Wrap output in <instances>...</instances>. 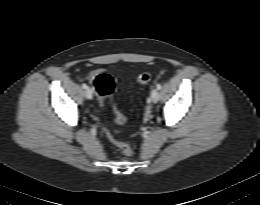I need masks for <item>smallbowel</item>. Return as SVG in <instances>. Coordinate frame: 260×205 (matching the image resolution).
<instances>
[{"label": "small bowel", "mask_w": 260, "mask_h": 205, "mask_svg": "<svg viewBox=\"0 0 260 205\" xmlns=\"http://www.w3.org/2000/svg\"><path fill=\"white\" fill-rule=\"evenodd\" d=\"M101 71H102V70L92 71V72L88 75L87 79L91 82V81L95 78V76L97 75V73H99V72H101Z\"/></svg>", "instance_id": "small-bowel-1"}]
</instances>
